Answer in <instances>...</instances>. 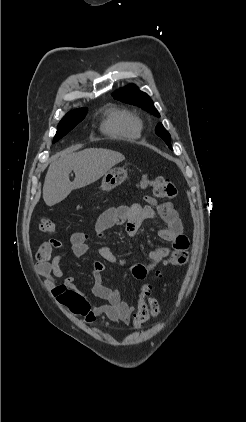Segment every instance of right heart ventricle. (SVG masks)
<instances>
[{
	"label": "right heart ventricle",
	"mask_w": 246,
	"mask_h": 422,
	"mask_svg": "<svg viewBox=\"0 0 246 422\" xmlns=\"http://www.w3.org/2000/svg\"><path fill=\"white\" fill-rule=\"evenodd\" d=\"M143 124L136 113L111 105L101 122V130L110 136L137 139L141 136Z\"/></svg>",
	"instance_id": "e07e8e85"
}]
</instances>
